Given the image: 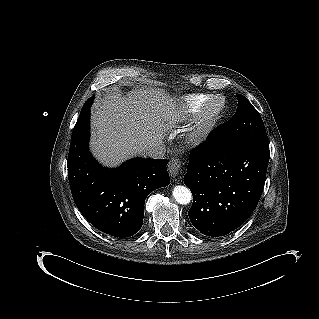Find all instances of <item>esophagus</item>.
<instances>
[{
	"label": "esophagus",
	"mask_w": 319,
	"mask_h": 319,
	"mask_svg": "<svg viewBox=\"0 0 319 319\" xmlns=\"http://www.w3.org/2000/svg\"><path fill=\"white\" fill-rule=\"evenodd\" d=\"M181 169V161L177 158H173L168 163V172L171 177H176Z\"/></svg>",
	"instance_id": "1"
}]
</instances>
